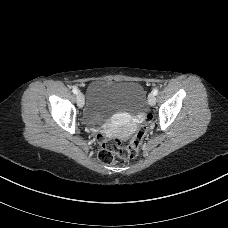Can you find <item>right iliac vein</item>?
<instances>
[{"label": "right iliac vein", "instance_id": "63e3f726", "mask_svg": "<svg viewBox=\"0 0 228 228\" xmlns=\"http://www.w3.org/2000/svg\"><path fill=\"white\" fill-rule=\"evenodd\" d=\"M77 104L80 108L84 106V95L81 92L77 94Z\"/></svg>", "mask_w": 228, "mask_h": 228}]
</instances>
